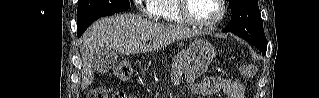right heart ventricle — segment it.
Wrapping results in <instances>:
<instances>
[{
  "instance_id": "obj_1",
  "label": "right heart ventricle",
  "mask_w": 319,
  "mask_h": 98,
  "mask_svg": "<svg viewBox=\"0 0 319 98\" xmlns=\"http://www.w3.org/2000/svg\"><path fill=\"white\" fill-rule=\"evenodd\" d=\"M146 9L158 19L173 23H184L178 11L177 0H147Z\"/></svg>"
}]
</instances>
